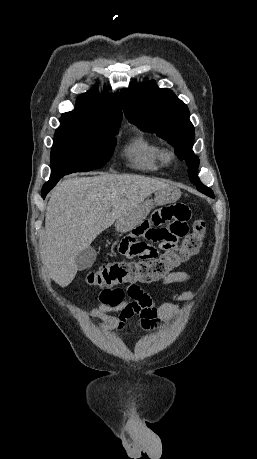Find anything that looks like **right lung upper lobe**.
<instances>
[{"mask_svg":"<svg viewBox=\"0 0 257 459\" xmlns=\"http://www.w3.org/2000/svg\"><path fill=\"white\" fill-rule=\"evenodd\" d=\"M121 119L118 92L109 95L90 90L78 97L75 109L62 114L60 121L107 129L119 128Z\"/></svg>","mask_w":257,"mask_h":459,"instance_id":"right-lung-upper-lobe-1","label":"right lung upper lobe"}]
</instances>
